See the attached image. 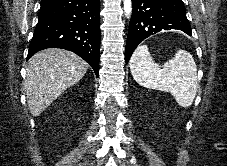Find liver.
Masks as SVG:
<instances>
[{
  "label": "liver",
  "instance_id": "liver-1",
  "mask_svg": "<svg viewBox=\"0 0 227 166\" xmlns=\"http://www.w3.org/2000/svg\"><path fill=\"white\" fill-rule=\"evenodd\" d=\"M88 64L64 49H45L29 60L25 92L30 113L39 116L67 88L85 75Z\"/></svg>",
  "mask_w": 227,
  "mask_h": 166
}]
</instances>
